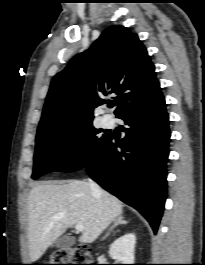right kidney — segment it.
<instances>
[{
  "label": "right kidney",
  "instance_id": "right-kidney-1",
  "mask_svg": "<svg viewBox=\"0 0 205 265\" xmlns=\"http://www.w3.org/2000/svg\"><path fill=\"white\" fill-rule=\"evenodd\" d=\"M135 244V234L127 233L111 244L109 255L121 264H134Z\"/></svg>",
  "mask_w": 205,
  "mask_h": 265
}]
</instances>
